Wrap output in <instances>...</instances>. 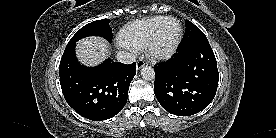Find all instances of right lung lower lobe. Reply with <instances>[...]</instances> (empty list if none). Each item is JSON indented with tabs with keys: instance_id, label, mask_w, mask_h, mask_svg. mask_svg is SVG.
<instances>
[{
	"instance_id": "right-lung-lower-lobe-1",
	"label": "right lung lower lobe",
	"mask_w": 276,
	"mask_h": 138,
	"mask_svg": "<svg viewBox=\"0 0 276 138\" xmlns=\"http://www.w3.org/2000/svg\"><path fill=\"white\" fill-rule=\"evenodd\" d=\"M75 45L66 46L59 66L66 102L78 114L93 121L114 117L127 102L136 63L125 65L108 59L96 67H85L76 58Z\"/></svg>"
}]
</instances>
